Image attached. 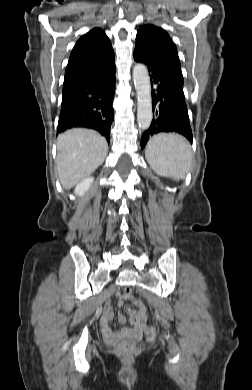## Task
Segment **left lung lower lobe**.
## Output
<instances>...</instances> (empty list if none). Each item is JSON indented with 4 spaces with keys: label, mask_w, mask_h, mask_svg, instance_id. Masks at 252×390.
I'll list each match as a JSON object with an SVG mask.
<instances>
[{
    "label": "left lung lower lobe",
    "mask_w": 252,
    "mask_h": 390,
    "mask_svg": "<svg viewBox=\"0 0 252 390\" xmlns=\"http://www.w3.org/2000/svg\"><path fill=\"white\" fill-rule=\"evenodd\" d=\"M134 60L144 63L149 70L152 87L153 120L143 133L141 148L155 134L176 132L192 143V131L183 92V76L162 61L134 49Z\"/></svg>",
    "instance_id": "left-lung-lower-lobe-1"
}]
</instances>
